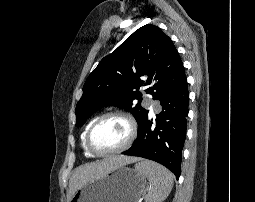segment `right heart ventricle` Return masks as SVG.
<instances>
[{
  "label": "right heart ventricle",
  "instance_id": "1",
  "mask_svg": "<svg viewBox=\"0 0 255 202\" xmlns=\"http://www.w3.org/2000/svg\"><path fill=\"white\" fill-rule=\"evenodd\" d=\"M94 120H95V119H94ZM94 120L90 121V122L86 125V127H85V129H84V131H83V133H82V135H81L82 147H83V150H84L85 154L88 155V156H92L93 154H91V153L89 152V150L87 149V147H86V144H85V136H86V133H87L88 128L90 127L91 123H92Z\"/></svg>",
  "mask_w": 255,
  "mask_h": 202
}]
</instances>
